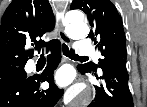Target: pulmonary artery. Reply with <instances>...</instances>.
I'll use <instances>...</instances> for the list:
<instances>
[{
	"label": "pulmonary artery",
	"instance_id": "e3ab8cb5",
	"mask_svg": "<svg viewBox=\"0 0 147 107\" xmlns=\"http://www.w3.org/2000/svg\"><path fill=\"white\" fill-rule=\"evenodd\" d=\"M74 51L78 55H92L94 53L92 45L83 40H79L75 43Z\"/></svg>",
	"mask_w": 147,
	"mask_h": 107
}]
</instances>
